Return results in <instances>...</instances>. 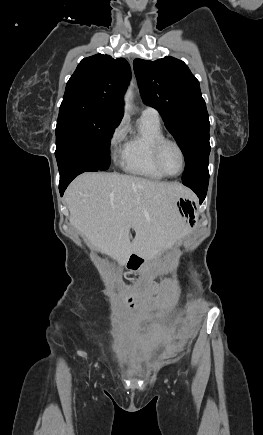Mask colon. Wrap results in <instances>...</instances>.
Wrapping results in <instances>:
<instances>
[{"instance_id": "obj_1", "label": "colon", "mask_w": 263, "mask_h": 435, "mask_svg": "<svg viewBox=\"0 0 263 435\" xmlns=\"http://www.w3.org/2000/svg\"><path fill=\"white\" fill-rule=\"evenodd\" d=\"M153 289H154V287H153V286H150V287L148 288V292H152Z\"/></svg>"}]
</instances>
